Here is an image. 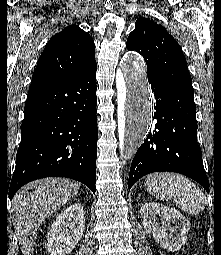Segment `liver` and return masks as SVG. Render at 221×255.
Returning a JSON list of instances; mask_svg holds the SVG:
<instances>
[{
    "instance_id": "liver-1",
    "label": "liver",
    "mask_w": 221,
    "mask_h": 255,
    "mask_svg": "<svg viewBox=\"0 0 221 255\" xmlns=\"http://www.w3.org/2000/svg\"><path fill=\"white\" fill-rule=\"evenodd\" d=\"M79 185L67 178H45L26 184L15 194L11 212L23 255H32L42 222L74 198Z\"/></svg>"
}]
</instances>
